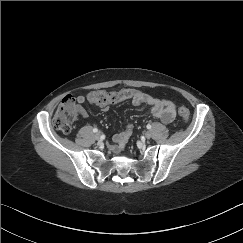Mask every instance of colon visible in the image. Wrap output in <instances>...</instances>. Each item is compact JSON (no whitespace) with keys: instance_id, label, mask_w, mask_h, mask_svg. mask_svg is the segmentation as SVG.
<instances>
[{"instance_id":"colon-1","label":"colon","mask_w":243,"mask_h":243,"mask_svg":"<svg viewBox=\"0 0 243 243\" xmlns=\"http://www.w3.org/2000/svg\"><path fill=\"white\" fill-rule=\"evenodd\" d=\"M135 95L133 89H122L119 91L108 92L104 90L92 92L89 95V101L99 104L116 103L128 99ZM80 111V103L73 96L65 97L53 118L54 127L62 132H69L73 123ZM178 113L184 123H187L190 119V113L186 106H179Z\"/></svg>"}]
</instances>
